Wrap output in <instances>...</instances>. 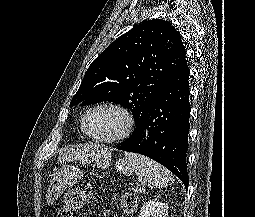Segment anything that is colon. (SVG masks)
<instances>
[{
  "label": "colon",
  "mask_w": 255,
  "mask_h": 217,
  "mask_svg": "<svg viewBox=\"0 0 255 217\" xmlns=\"http://www.w3.org/2000/svg\"><path fill=\"white\" fill-rule=\"evenodd\" d=\"M92 199V190L84 185L69 190L64 196L63 205L57 210L56 217H74L75 212L81 210ZM121 210L126 214H133L138 205V198L134 193H125L118 198Z\"/></svg>",
  "instance_id": "5ec220e1"
}]
</instances>
